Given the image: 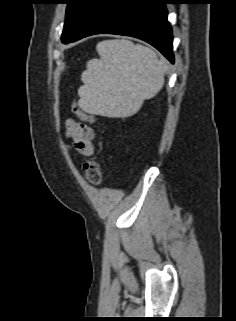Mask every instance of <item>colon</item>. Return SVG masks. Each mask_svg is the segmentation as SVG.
Wrapping results in <instances>:
<instances>
[{
    "mask_svg": "<svg viewBox=\"0 0 236 321\" xmlns=\"http://www.w3.org/2000/svg\"><path fill=\"white\" fill-rule=\"evenodd\" d=\"M72 111L82 120L93 122L94 116L82 110L77 102L72 103ZM85 177L89 183L99 186L102 181L101 167L97 159L91 158L84 165Z\"/></svg>",
    "mask_w": 236,
    "mask_h": 321,
    "instance_id": "colon-1",
    "label": "colon"
}]
</instances>
